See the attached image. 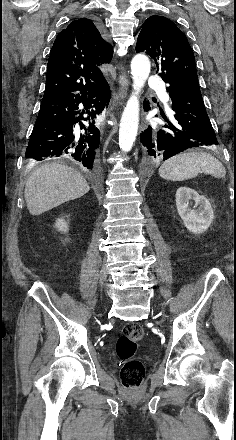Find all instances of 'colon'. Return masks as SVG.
<instances>
[{"label":"colon","mask_w":236,"mask_h":440,"mask_svg":"<svg viewBox=\"0 0 236 440\" xmlns=\"http://www.w3.org/2000/svg\"><path fill=\"white\" fill-rule=\"evenodd\" d=\"M143 328L135 322H129L122 328L117 340V356L124 361L121 368L120 378L124 388L134 390L145 379V368L141 361L134 358L138 342L143 338Z\"/></svg>","instance_id":"colon-1"}]
</instances>
